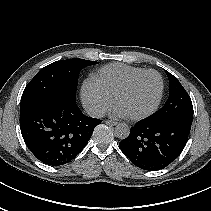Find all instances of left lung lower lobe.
<instances>
[{
    "label": "left lung lower lobe",
    "mask_w": 211,
    "mask_h": 211,
    "mask_svg": "<svg viewBox=\"0 0 211 211\" xmlns=\"http://www.w3.org/2000/svg\"><path fill=\"white\" fill-rule=\"evenodd\" d=\"M191 125L176 120H144L131 128L119 143L122 152L137 167L156 171L167 167L183 151Z\"/></svg>",
    "instance_id": "0a47b994"
}]
</instances>
